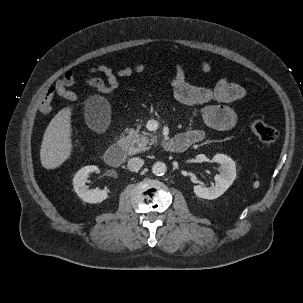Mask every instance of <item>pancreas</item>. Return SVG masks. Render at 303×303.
Returning a JSON list of instances; mask_svg holds the SVG:
<instances>
[{
  "instance_id": "cf45deb5",
  "label": "pancreas",
  "mask_w": 303,
  "mask_h": 303,
  "mask_svg": "<svg viewBox=\"0 0 303 303\" xmlns=\"http://www.w3.org/2000/svg\"><path fill=\"white\" fill-rule=\"evenodd\" d=\"M125 142L128 146V154L133 155L148 150L151 145L157 142L156 136L146 132L140 133V128L127 130Z\"/></svg>"
}]
</instances>
